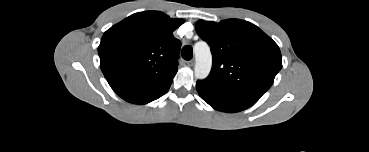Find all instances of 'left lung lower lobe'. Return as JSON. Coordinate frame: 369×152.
<instances>
[{
  "mask_svg": "<svg viewBox=\"0 0 369 152\" xmlns=\"http://www.w3.org/2000/svg\"><path fill=\"white\" fill-rule=\"evenodd\" d=\"M197 91L200 97L214 109L224 112H239L254 105L258 97L224 90L207 82L197 81Z\"/></svg>",
  "mask_w": 369,
  "mask_h": 152,
  "instance_id": "obj_1",
  "label": "left lung lower lobe"
}]
</instances>
